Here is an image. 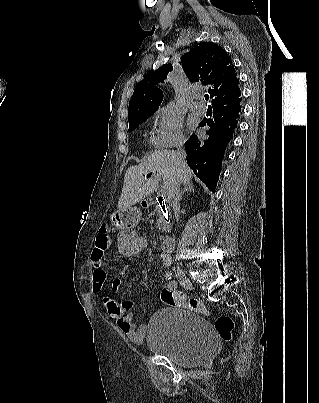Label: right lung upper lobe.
<instances>
[{"label":"right lung upper lobe","mask_w":319,"mask_h":403,"mask_svg":"<svg viewBox=\"0 0 319 403\" xmlns=\"http://www.w3.org/2000/svg\"><path fill=\"white\" fill-rule=\"evenodd\" d=\"M182 68L191 82L213 85L212 104L239 93L237 74L226 51L210 42H202L182 56ZM171 64L150 72L135 88L129 103L128 120L133 121L156 111L163 99L158 84L166 79Z\"/></svg>","instance_id":"1"}]
</instances>
